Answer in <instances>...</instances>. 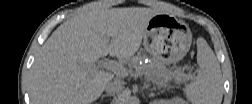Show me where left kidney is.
Returning <instances> with one entry per match:
<instances>
[{"instance_id":"5707ae66","label":"left kidney","mask_w":252,"mask_h":104,"mask_svg":"<svg viewBox=\"0 0 252 104\" xmlns=\"http://www.w3.org/2000/svg\"><path fill=\"white\" fill-rule=\"evenodd\" d=\"M171 103H184V101L182 100V99H179V98H174V99H172L171 101H170Z\"/></svg>"}]
</instances>
